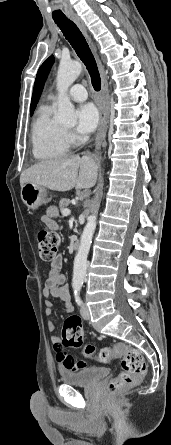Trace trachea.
Segmentation results:
<instances>
[{"label":"trachea","mask_w":171,"mask_h":445,"mask_svg":"<svg viewBox=\"0 0 171 445\" xmlns=\"http://www.w3.org/2000/svg\"><path fill=\"white\" fill-rule=\"evenodd\" d=\"M65 38L71 44L81 61L85 64L95 91L101 89V78L95 58L79 28L69 19L55 20Z\"/></svg>","instance_id":"obj_1"}]
</instances>
